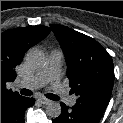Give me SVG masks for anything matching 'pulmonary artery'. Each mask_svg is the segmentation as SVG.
<instances>
[{
    "label": "pulmonary artery",
    "mask_w": 123,
    "mask_h": 123,
    "mask_svg": "<svg viewBox=\"0 0 123 123\" xmlns=\"http://www.w3.org/2000/svg\"><path fill=\"white\" fill-rule=\"evenodd\" d=\"M63 62V53L61 50L54 49L50 52L47 62L42 70L35 75L21 81L20 87L36 89L51 82L55 93L69 105L75 104V97L70 96L64 86L59 81V73Z\"/></svg>",
    "instance_id": "obj_1"
}]
</instances>
